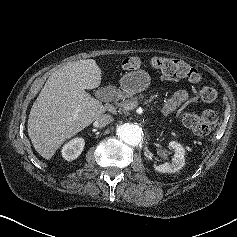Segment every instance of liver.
Wrapping results in <instances>:
<instances>
[{"label": "liver", "mask_w": 237, "mask_h": 237, "mask_svg": "<svg viewBox=\"0 0 237 237\" xmlns=\"http://www.w3.org/2000/svg\"><path fill=\"white\" fill-rule=\"evenodd\" d=\"M93 59L78 60L53 72L30 110L28 136L35 150L50 159L68 139L89 126L106 108L86 89L101 84Z\"/></svg>", "instance_id": "liver-1"}]
</instances>
